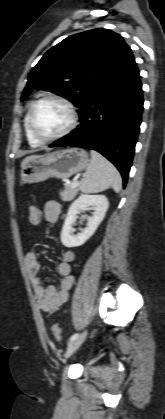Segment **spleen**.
Wrapping results in <instances>:
<instances>
[{
    "label": "spleen",
    "mask_w": 165,
    "mask_h": 419,
    "mask_svg": "<svg viewBox=\"0 0 165 419\" xmlns=\"http://www.w3.org/2000/svg\"><path fill=\"white\" fill-rule=\"evenodd\" d=\"M79 186L84 193H98L110 187L118 193L122 188V179L111 162L98 152L91 150V161Z\"/></svg>",
    "instance_id": "3e777b00"
}]
</instances>
